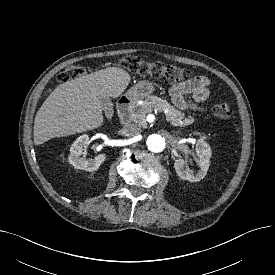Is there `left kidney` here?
Listing matches in <instances>:
<instances>
[{
  "mask_svg": "<svg viewBox=\"0 0 275 275\" xmlns=\"http://www.w3.org/2000/svg\"><path fill=\"white\" fill-rule=\"evenodd\" d=\"M195 152L199 158V170L197 172L185 168L186 162L182 158L177 159L174 163L175 171L182 180L198 182L207 174L212 154L209 145L203 139H199L196 143Z\"/></svg>",
  "mask_w": 275,
  "mask_h": 275,
  "instance_id": "left-kidney-1",
  "label": "left kidney"
}]
</instances>
